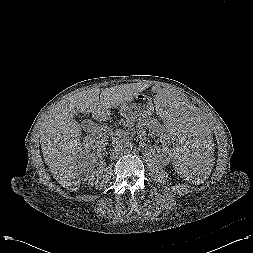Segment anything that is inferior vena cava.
<instances>
[{
    "instance_id": "1",
    "label": "inferior vena cava",
    "mask_w": 253,
    "mask_h": 253,
    "mask_svg": "<svg viewBox=\"0 0 253 253\" xmlns=\"http://www.w3.org/2000/svg\"><path fill=\"white\" fill-rule=\"evenodd\" d=\"M99 129H100V128H99ZM99 129L94 130V132L99 133V131H98ZM100 130H101V129H100ZM121 154H122V151H121L119 145L114 146V148L111 150V155H112V157H114V158H117V157L120 156Z\"/></svg>"
}]
</instances>
